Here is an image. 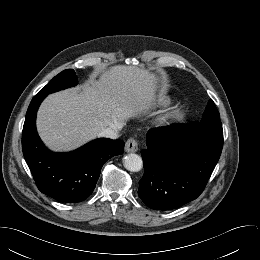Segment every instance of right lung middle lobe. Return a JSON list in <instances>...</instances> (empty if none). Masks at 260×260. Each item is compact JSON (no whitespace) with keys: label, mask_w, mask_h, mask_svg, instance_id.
<instances>
[{"label":"right lung middle lobe","mask_w":260,"mask_h":260,"mask_svg":"<svg viewBox=\"0 0 260 260\" xmlns=\"http://www.w3.org/2000/svg\"><path fill=\"white\" fill-rule=\"evenodd\" d=\"M77 84V76L73 69H67L55 76L38 94L48 95L50 93L75 86Z\"/></svg>","instance_id":"obj_1"}]
</instances>
